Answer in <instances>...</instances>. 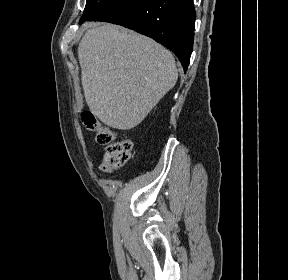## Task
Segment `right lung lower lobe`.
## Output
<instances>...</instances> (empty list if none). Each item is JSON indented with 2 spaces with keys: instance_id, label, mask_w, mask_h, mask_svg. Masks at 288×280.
Returning a JSON list of instances; mask_svg holds the SVG:
<instances>
[{
  "instance_id": "obj_1",
  "label": "right lung lower lobe",
  "mask_w": 288,
  "mask_h": 280,
  "mask_svg": "<svg viewBox=\"0 0 288 280\" xmlns=\"http://www.w3.org/2000/svg\"><path fill=\"white\" fill-rule=\"evenodd\" d=\"M86 20L115 23L149 36L170 49L184 71L188 68L194 40L193 0H113Z\"/></svg>"
}]
</instances>
